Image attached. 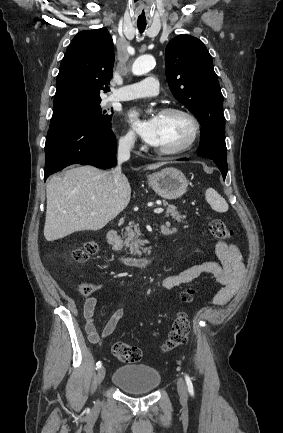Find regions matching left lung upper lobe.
Wrapping results in <instances>:
<instances>
[{"mask_svg":"<svg viewBox=\"0 0 283 433\" xmlns=\"http://www.w3.org/2000/svg\"><path fill=\"white\" fill-rule=\"evenodd\" d=\"M166 78L174 97L198 119L202 130L225 136L223 96L205 45L190 35H178L166 46Z\"/></svg>","mask_w":283,"mask_h":433,"instance_id":"1","label":"left lung upper lobe"}]
</instances>
